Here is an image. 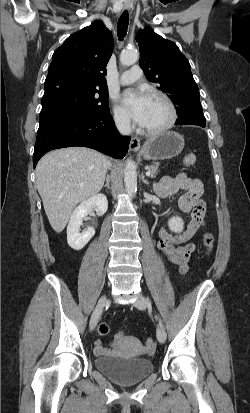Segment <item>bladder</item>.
I'll use <instances>...</instances> for the list:
<instances>
[{"label":"bladder","instance_id":"bladder-1","mask_svg":"<svg viewBox=\"0 0 250 413\" xmlns=\"http://www.w3.org/2000/svg\"><path fill=\"white\" fill-rule=\"evenodd\" d=\"M95 367L107 377L121 385L138 383L153 371V363L146 358H125L118 356H98Z\"/></svg>","mask_w":250,"mask_h":413}]
</instances>
